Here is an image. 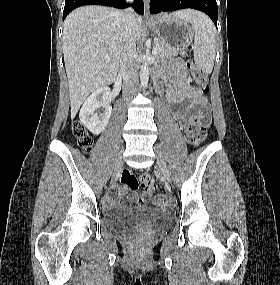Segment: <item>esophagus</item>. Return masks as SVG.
Masks as SVG:
<instances>
[{"instance_id": "34e87169", "label": "esophagus", "mask_w": 280, "mask_h": 285, "mask_svg": "<svg viewBox=\"0 0 280 285\" xmlns=\"http://www.w3.org/2000/svg\"><path fill=\"white\" fill-rule=\"evenodd\" d=\"M144 7H145V16L147 19H150V13H149V0H144Z\"/></svg>"}]
</instances>
